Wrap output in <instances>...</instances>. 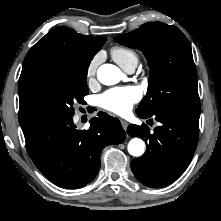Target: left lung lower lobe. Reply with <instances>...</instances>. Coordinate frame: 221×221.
<instances>
[{
  "label": "left lung lower lobe",
  "mask_w": 221,
  "mask_h": 221,
  "mask_svg": "<svg viewBox=\"0 0 221 221\" xmlns=\"http://www.w3.org/2000/svg\"><path fill=\"white\" fill-rule=\"evenodd\" d=\"M136 113L143 119L154 117L161 124L154 132L145 124L128 126L130 136L141 137L148 143L146 152L132 160V172L148 187L167 186L183 174L192 160L198 143L200 114L166 107H154L148 114Z\"/></svg>",
  "instance_id": "0a47b994"
}]
</instances>
